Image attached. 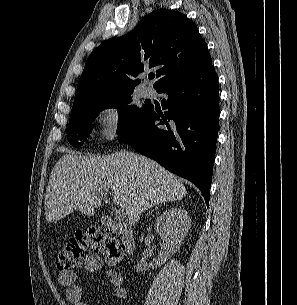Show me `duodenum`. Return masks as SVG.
<instances>
[{
    "label": "duodenum",
    "instance_id": "obj_1",
    "mask_svg": "<svg viewBox=\"0 0 297 305\" xmlns=\"http://www.w3.org/2000/svg\"><path fill=\"white\" fill-rule=\"evenodd\" d=\"M103 223L109 230L121 237L124 252L127 255H131L135 249V240L132 228L126 223L116 221L111 216H104Z\"/></svg>",
    "mask_w": 297,
    "mask_h": 305
}]
</instances>
